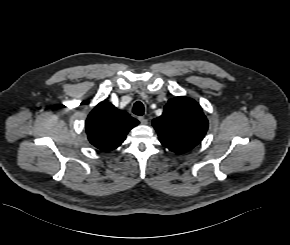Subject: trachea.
Masks as SVG:
<instances>
[{"instance_id": "1", "label": "trachea", "mask_w": 290, "mask_h": 245, "mask_svg": "<svg viewBox=\"0 0 290 245\" xmlns=\"http://www.w3.org/2000/svg\"><path fill=\"white\" fill-rule=\"evenodd\" d=\"M133 113L138 116H142L144 114V105L142 102L137 101L133 106Z\"/></svg>"}]
</instances>
